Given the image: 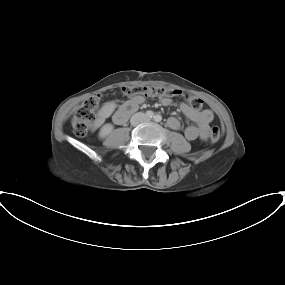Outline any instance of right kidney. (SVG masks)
Segmentation results:
<instances>
[{
  "mask_svg": "<svg viewBox=\"0 0 285 285\" xmlns=\"http://www.w3.org/2000/svg\"><path fill=\"white\" fill-rule=\"evenodd\" d=\"M113 128V125L109 123L103 125L99 132V138L107 137L113 131Z\"/></svg>",
  "mask_w": 285,
  "mask_h": 285,
  "instance_id": "obj_1",
  "label": "right kidney"
}]
</instances>
